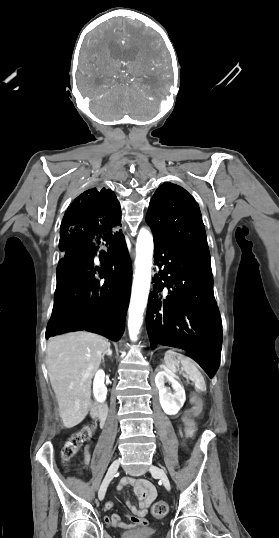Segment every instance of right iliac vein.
<instances>
[{
  "label": "right iliac vein",
  "mask_w": 279,
  "mask_h": 538,
  "mask_svg": "<svg viewBox=\"0 0 279 538\" xmlns=\"http://www.w3.org/2000/svg\"><path fill=\"white\" fill-rule=\"evenodd\" d=\"M119 465H120V461L119 460H115L111 466L109 467L108 469V472L100 486V489H99V492H98V498L99 500H103L104 497H105V494H106V490H107V487H108V484L110 483V481L113 479L115 473L117 472L118 468H119Z\"/></svg>",
  "instance_id": "63e3f726"
}]
</instances>
